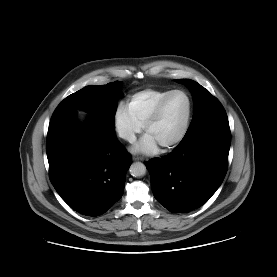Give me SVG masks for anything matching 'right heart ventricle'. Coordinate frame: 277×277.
Returning a JSON list of instances; mask_svg holds the SVG:
<instances>
[{"label":"right heart ventricle","instance_id":"e07e8e85","mask_svg":"<svg viewBox=\"0 0 277 277\" xmlns=\"http://www.w3.org/2000/svg\"><path fill=\"white\" fill-rule=\"evenodd\" d=\"M172 89L148 88L133 94L127 107L133 118L142 126L152 114L159 101Z\"/></svg>","mask_w":277,"mask_h":277}]
</instances>
